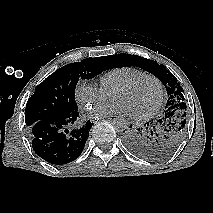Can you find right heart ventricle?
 Segmentation results:
<instances>
[{
    "label": "right heart ventricle",
    "mask_w": 213,
    "mask_h": 213,
    "mask_svg": "<svg viewBox=\"0 0 213 213\" xmlns=\"http://www.w3.org/2000/svg\"><path fill=\"white\" fill-rule=\"evenodd\" d=\"M145 74H147L145 71L133 66L116 67L100 76V86L110 95L119 86Z\"/></svg>",
    "instance_id": "1"
}]
</instances>
